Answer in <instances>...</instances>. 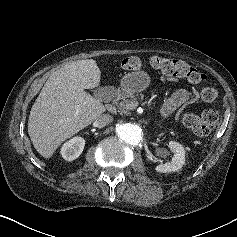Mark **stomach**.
<instances>
[{
    "label": "stomach",
    "mask_w": 237,
    "mask_h": 237,
    "mask_svg": "<svg viewBox=\"0 0 237 237\" xmlns=\"http://www.w3.org/2000/svg\"><path fill=\"white\" fill-rule=\"evenodd\" d=\"M120 83L125 94L131 96L148 87L149 76L143 71H134L124 75Z\"/></svg>",
    "instance_id": "stomach-1"
}]
</instances>
